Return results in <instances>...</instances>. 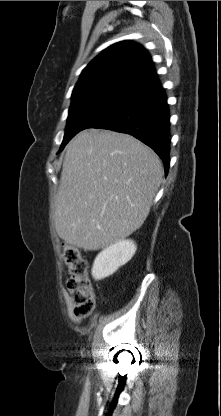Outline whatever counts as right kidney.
<instances>
[{
	"label": "right kidney",
	"mask_w": 221,
	"mask_h": 416,
	"mask_svg": "<svg viewBox=\"0 0 221 416\" xmlns=\"http://www.w3.org/2000/svg\"><path fill=\"white\" fill-rule=\"evenodd\" d=\"M136 245L132 240H119L101 251L92 267L95 280L104 279L125 265L135 254Z\"/></svg>",
	"instance_id": "1"
}]
</instances>
